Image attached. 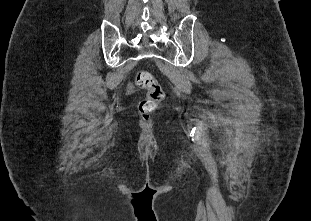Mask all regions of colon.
Instances as JSON below:
<instances>
[{"label": "colon", "mask_w": 311, "mask_h": 221, "mask_svg": "<svg viewBox=\"0 0 311 221\" xmlns=\"http://www.w3.org/2000/svg\"><path fill=\"white\" fill-rule=\"evenodd\" d=\"M136 84L139 88L147 90V96L139 104L138 112L142 118H148L156 106L164 99V90L158 81L146 70H138Z\"/></svg>", "instance_id": "5ec220e1"}]
</instances>
